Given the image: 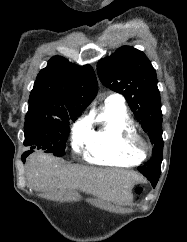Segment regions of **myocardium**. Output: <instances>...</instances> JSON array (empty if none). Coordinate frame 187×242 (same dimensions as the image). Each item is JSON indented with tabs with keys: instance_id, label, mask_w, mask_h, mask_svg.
<instances>
[{
	"instance_id": "obj_1",
	"label": "myocardium",
	"mask_w": 187,
	"mask_h": 242,
	"mask_svg": "<svg viewBox=\"0 0 187 242\" xmlns=\"http://www.w3.org/2000/svg\"><path fill=\"white\" fill-rule=\"evenodd\" d=\"M124 142L130 151L139 155L142 159L146 158L151 150L149 142L137 131L126 133Z\"/></svg>"
}]
</instances>
